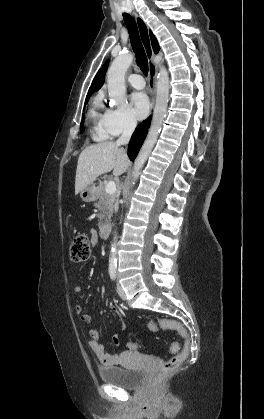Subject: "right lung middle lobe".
<instances>
[{"mask_svg": "<svg viewBox=\"0 0 264 419\" xmlns=\"http://www.w3.org/2000/svg\"><path fill=\"white\" fill-rule=\"evenodd\" d=\"M88 100L89 98L86 99V103L88 102ZM82 118H84V115H82ZM83 124H84V119H82L81 121V131H84Z\"/></svg>", "mask_w": 264, "mask_h": 419, "instance_id": "right-lung-middle-lobe-1", "label": "right lung middle lobe"}]
</instances>
